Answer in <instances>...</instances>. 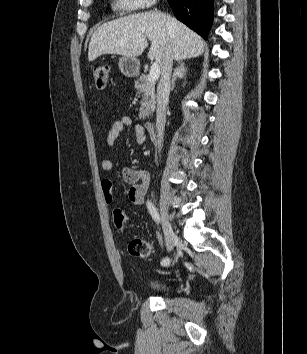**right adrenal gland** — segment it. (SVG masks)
<instances>
[{
	"label": "right adrenal gland",
	"mask_w": 307,
	"mask_h": 354,
	"mask_svg": "<svg viewBox=\"0 0 307 354\" xmlns=\"http://www.w3.org/2000/svg\"><path fill=\"white\" fill-rule=\"evenodd\" d=\"M187 68L185 67V63L182 61H178V66L174 69V73L172 76V81H171V90L174 89L175 87V81L177 78H183L186 75Z\"/></svg>",
	"instance_id": "1"
}]
</instances>
